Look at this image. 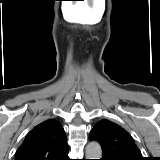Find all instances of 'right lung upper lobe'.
I'll use <instances>...</instances> for the list:
<instances>
[{
    "label": "right lung upper lobe",
    "mask_w": 160,
    "mask_h": 160,
    "mask_svg": "<svg viewBox=\"0 0 160 160\" xmlns=\"http://www.w3.org/2000/svg\"><path fill=\"white\" fill-rule=\"evenodd\" d=\"M69 147L61 124L48 119L34 127L15 154V160H64Z\"/></svg>",
    "instance_id": "cb5924a9"
}]
</instances>
